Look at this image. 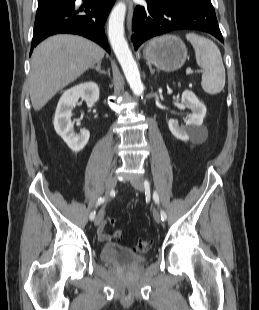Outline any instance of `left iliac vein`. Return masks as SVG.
Listing matches in <instances>:
<instances>
[{
  "label": "left iliac vein",
  "instance_id": "4c4485c4",
  "mask_svg": "<svg viewBox=\"0 0 259 310\" xmlns=\"http://www.w3.org/2000/svg\"><path fill=\"white\" fill-rule=\"evenodd\" d=\"M132 186L139 191H144V186H145L144 185V179L143 178H137L136 180H133ZM153 216H154V220L156 221V223L161 222L160 214L158 213V211L156 209H153Z\"/></svg>",
  "mask_w": 259,
  "mask_h": 310
}]
</instances>
